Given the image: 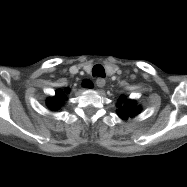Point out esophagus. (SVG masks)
I'll use <instances>...</instances> for the list:
<instances>
[{
    "instance_id": "1",
    "label": "esophagus",
    "mask_w": 187,
    "mask_h": 187,
    "mask_svg": "<svg viewBox=\"0 0 187 187\" xmlns=\"http://www.w3.org/2000/svg\"><path fill=\"white\" fill-rule=\"evenodd\" d=\"M105 84H106V81H105L104 78L99 77V78L96 79V85L98 87L102 88V87L105 86Z\"/></svg>"
}]
</instances>
